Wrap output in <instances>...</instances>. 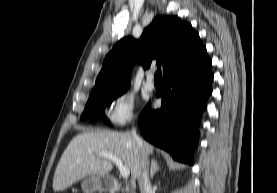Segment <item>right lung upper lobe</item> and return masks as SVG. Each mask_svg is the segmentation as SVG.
<instances>
[{"instance_id":"1","label":"right lung upper lobe","mask_w":277,"mask_h":193,"mask_svg":"<svg viewBox=\"0 0 277 193\" xmlns=\"http://www.w3.org/2000/svg\"><path fill=\"white\" fill-rule=\"evenodd\" d=\"M204 46L191 24L177 16H157L139 40L121 39L106 56L91 94L129 87L130 71L136 61L144 69L156 61L163 74L191 59Z\"/></svg>"}]
</instances>
